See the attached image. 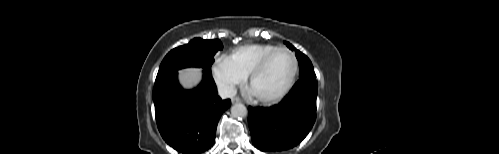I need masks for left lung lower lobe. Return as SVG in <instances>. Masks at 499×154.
Here are the masks:
<instances>
[{
	"instance_id": "0a47b994",
	"label": "left lung lower lobe",
	"mask_w": 499,
	"mask_h": 154,
	"mask_svg": "<svg viewBox=\"0 0 499 154\" xmlns=\"http://www.w3.org/2000/svg\"><path fill=\"white\" fill-rule=\"evenodd\" d=\"M318 82L301 77L278 105L248 108L251 139L261 151L275 152L298 145L316 119Z\"/></svg>"
}]
</instances>
